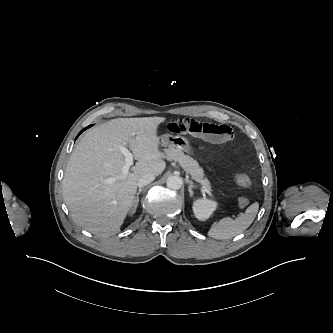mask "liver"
I'll return each mask as SVG.
<instances>
[{
  "mask_svg": "<svg viewBox=\"0 0 333 333\" xmlns=\"http://www.w3.org/2000/svg\"><path fill=\"white\" fill-rule=\"evenodd\" d=\"M164 117L113 119L89 130L72 152L63 178L64 201L76 224L100 237L120 232L130 211L139 179L166 168L159 150L158 126ZM137 160L128 175L120 145ZM114 178L112 183L103 181Z\"/></svg>",
  "mask_w": 333,
  "mask_h": 333,
  "instance_id": "6515ba94",
  "label": "liver"
}]
</instances>
